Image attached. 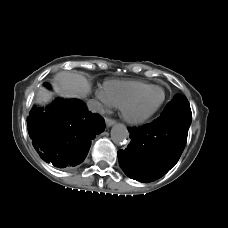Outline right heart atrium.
Returning <instances> with one entry per match:
<instances>
[{
	"instance_id": "1",
	"label": "right heart atrium",
	"mask_w": 228,
	"mask_h": 228,
	"mask_svg": "<svg viewBox=\"0 0 228 228\" xmlns=\"http://www.w3.org/2000/svg\"><path fill=\"white\" fill-rule=\"evenodd\" d=\"M98 98L105 104V105H110L109 103H108V101L106 100V98L104 97V95L103 94H98Z\"/></svg>"
}]
</instances>
